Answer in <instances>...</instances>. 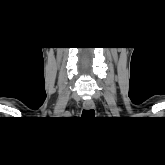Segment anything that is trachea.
<instances>
[{"label":"trachea","instance_id":"3493384b","mask_svg":"<svg viewBox=\"0 0 165 165\" xmlns=\"http://www.w3.org/2000/svg\"><path fill=\"white\" fill-rule=\"evenodd\" d=\"M94 110H84L82 116L84 117H94Z\"/></svg>","mask_w":165,"mask_h":165}]
</instances>
